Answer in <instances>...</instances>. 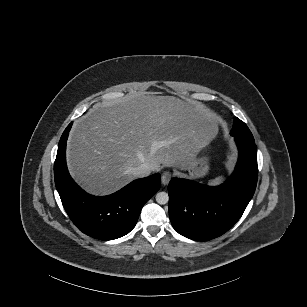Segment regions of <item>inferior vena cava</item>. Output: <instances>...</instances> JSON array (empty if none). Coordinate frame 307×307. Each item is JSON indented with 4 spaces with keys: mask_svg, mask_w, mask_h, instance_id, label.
Listing matches in <instances>:
<instances>
[{
    "mask_svg": "<svg viewBox=\"0 0 307 307\" xmlns=\"http://www.w3.org/2000/svg\"><path fill=\"white\" fill-rule=\"evenodd\" d=\"M129 172L136 178H144L150 174L151 170L148 165L142 164L138 167L131 168Z\"/></svg>",
    "mask_w": 307,
    "mask_h": 307,
    "instance_id": "obj_1",
    "label": "inferior vena cava"
}]
</instances>
